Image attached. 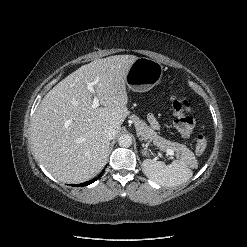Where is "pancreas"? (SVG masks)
Returning <instances> with one entry per match:
<instances>
[{
	"mask_svg": "<svg viewBox=\"0 0 247 247\" xmlns=\"http://www.w3.org/2000/svg\"><path fill=\"white\" fill-rule=\"evenodd\" d=\"M132 120L137 130V135L143 140H151L161 150L171 149L176 153V156L184 162H192L194 154L185 145L177 142L166 140L157 135L144 121L136 116H132Z\"/></svg>",
	"mask_w": 247,
	"mask_h": 247,
	"instance_id": "obj_1",
	"label": "pancreas"
}]
</instances>
